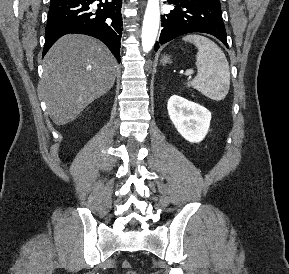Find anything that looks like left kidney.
<instances>
[{
    "label": "left kidney",
    "instance_id": "5707ae66",
    "mask_svg": "<svg viewBox=\"0 0 289 274\" xmlns=\"http://www.w3.org/2000/svg\"><path fill=\"white\" fill-rule=\"evenodd\" d=\"M168 114L177 131L189 142L199 143L208 133L211 113L203 106L178 95L168 100Z\"/></svg>",
    "mask_w": 289,
    "mask_h": 274
}]
</instances>
